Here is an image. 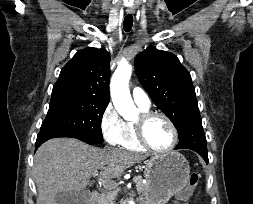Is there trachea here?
Listing matches in <instances>:
<instances>
[{"label":"trachea","instance_id":"3493384b","mask_svg":"<svg viewBox=\"0 0 253 204\" xmlns=\"http://www.w3.org/2000/svg\"><path fill=\"white\" fill-rule=\"evenodd\" d=\"M133 25V17L131 14L126 15L124 18L123 26L126 32H129Z\"/></svg>","mask_w":253,"mask_h":204}]
</instances>
